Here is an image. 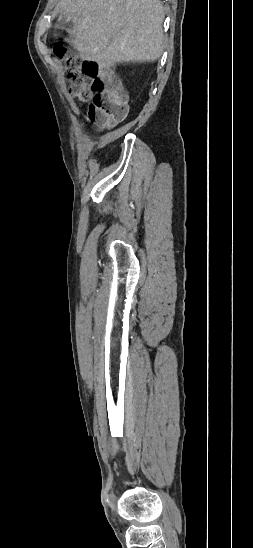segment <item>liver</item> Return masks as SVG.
Masks as SVG:
<instances>
[{
	"mask_svg": "<svg viewBox=\"0 0 253 548\" xmlns=\"http://www.w3.org/2000/svg\"><path fill=\"white\" fill-rule=\"evenodd\" d=\"M55 13L72 21L70 42L81 59L100 69L155 61L163 53L160 0H59Z\"/></svg>",
	"mask_w": 253,
	"mask_h": 548,
	"instance_id": "6515ba94",
	"label": "liver"
}]
</instances>
